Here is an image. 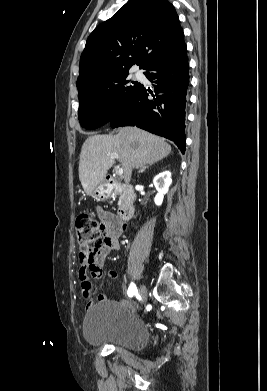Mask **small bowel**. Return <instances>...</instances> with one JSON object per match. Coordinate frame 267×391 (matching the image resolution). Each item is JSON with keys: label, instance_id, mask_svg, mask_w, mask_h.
<instances>
[{"label": "small bowel", "instance_id": "1", "mask_svg": "<svg viewBox=\"0 0 267 391\" xmlns=\"http://www.w3.org/2000/svg\"><path fill=\"white\" fill-rule=\"evenodd\" d=\"M96 212L103 225V245L95 255H81L78 270V276L87 307L92 305L94 295V289L90 282L89 274L94 278L103 276L104 261L111 251H117L119 249V238L125 230V224L118 221L113 214L101 208H96ZM107 276L110 279H115L117 274L116 272L111 271ZM98 299L100 301H105L106 297L103 294H99Z\"/></svg>", "mask_w": 267, "mask_h": 391}]
</instances>
